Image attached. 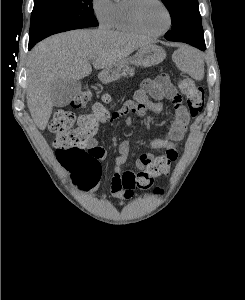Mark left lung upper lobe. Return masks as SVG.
Returning <instances> with one entry per match:
<instances>
[{"instance_id": "1", "label": "left lung upper lobe", "mask_w": 245, "mask_h": 300, "mask_svg": "<svg viewBox=\"0 0 245 300\" xmlns=\"http://www.w3.org/2000/svg\"><path fill=\"white\" fill-rule=\"evenodd\" d=\"M169 10L172 28L165 39L188 37L193 33H203L198 0H161Z\"/></svg>"}]
</instances>
